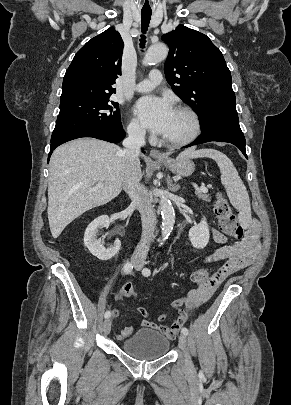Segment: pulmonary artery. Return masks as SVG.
<instances>
[{"label": "pulmonary artery", "instance_id": "1", "mask_svg": "<svg viewBox=\"0 0 291 405\" xmlns=\"http://www.w3.org/2000/svg\"><path fill=\"white\" fill-rule=\"evenodd\" d=\"M162 79V73L159 70H152L147 79L136 84L135 90L137 92L151 91L162 82Z\"/></svg>", "mask_w": 291, "mask_h": 405}]
</instances>
